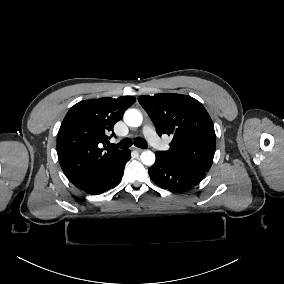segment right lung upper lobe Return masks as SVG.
<instances>
[{
	"instance_id": "cb5924a9",
	"label": "right lung upper lobe",
	"mask_w": 284,
	"mask_h": 284,
	"mask_svg": "<svg viewBox=\"0 0 284 284\" xmlns=\"http://www.w3.org/2000/svg\"><path fill=\"white\" fill-rule=\"evenodd\" d=\"M135 101L132 96L103 97L81 101L70 108L57 134V154L64 174L77 188L97 177L123 153L125 149L105 147L104 151L102 145Z\"/></svg>"
}]
</instances>
